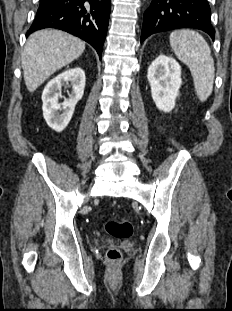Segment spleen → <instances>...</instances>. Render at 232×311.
<instances>
[{"instance_id": "1", "label": "spleen", "mask_w": 232, "mask_h": 311, "mask_svg": "<svg viewBox=\"0 0 232 311\" xmlns=\"http://www.w3.org/2000/svg\"><path fill=\"white\" fill-rule=\"evenodd\" d=\"M170 45L176 56L189 67L198 98L207 100L215 77L214 60L208 43L196 31L184 29L170 34Z\"/></svg>"}]
</instances>
